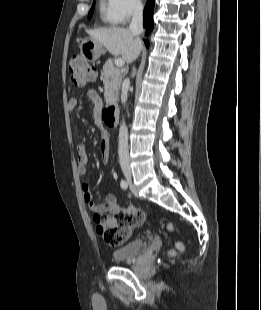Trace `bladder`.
<instances>
[{"label":"bladder","instance_id":"1","mask_svg":"<svg viewBox=\"0 0 261 310\" xmlns=\"http://www.w3.org/2000/svg\"><path fill=\"white\" fill-rule=\"evenodd\" d=\"M144 242L140 238L131 239L123 245L112 250L114 261L124 262L133 259L143 248Z\"/></svg>","mask_w":261,"mask_h":310}]
</instances>
